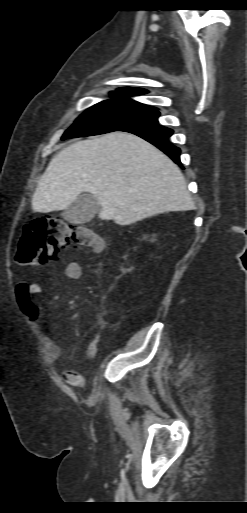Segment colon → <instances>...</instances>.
<instances>
[{"label": "colon", "mask_w": 247, "mask_h": 513, "mask_svg": "<svg viewBox=\"0 0 247 513\" xmlns=\"http://www.w3.org/2000/svg\"><path fill=\"white\" fill-rule=\"evenodd\" d=\"M69 246L101 250L104 240L86 227L68 224L57 217L35 219L24 226L15 258L20 265H40L56 260L58 254ZM92 347L96 351L98 343H93Z\"/></svg>", "instance_id": "obj_1"}]
</instances>
